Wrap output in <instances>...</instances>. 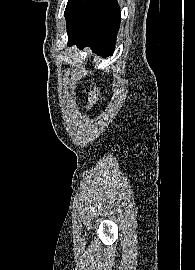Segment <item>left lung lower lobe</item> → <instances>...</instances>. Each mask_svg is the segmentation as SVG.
Listing matches in <instances>:
<instances>
[{
  "label": "left lung lower lobe",
  "instance_id": "obj_1",
  "mask_svg": "<svg viewBox=\"0 0 195 270\" xmlns=\"http://www.w3.org/2000/svg\"><path fill=\"white\" fill-rule=\"evenodd\" d=\"M120 20L117 0H84L67 26L68 45L89 46L99 55H111Z\"/></svg>",
  "mask_w": 195,
  "mask_h": 270
}]
</instances>
